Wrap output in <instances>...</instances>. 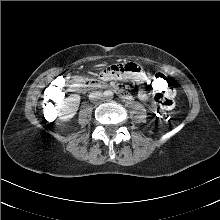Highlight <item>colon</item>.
Returning a JSON list of instances; mask_svg holds the SVG:
<instances>
[{"mask_svg": "<svg viewBox=\"0 0 220 220\" xmlns=\"http://www.w3.org/2000/svg\"><path fill=\"white\" fill-rule=\"evenodd\" d=\"M144 84L148 90H151L153 93L156 94L165 93L169 87L168 79L163 73L160 72L148 73L145 76ZM61 85V81H56L50 87L49 93L44 101L45 111H52L55 108L60 98ZM154 101L160 108L157 114L158 120L163 123L169 122L172 117L170 110L174 106L173 98L164 95H154Z\"/></svg>", "mask_w": 220, "mask_h": 220, "instance_id": "obj_1", "label": "colon"}]
</instances>
